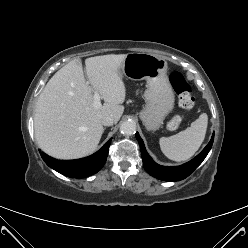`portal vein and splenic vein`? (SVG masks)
<instances>
[{
	"instance_id": "portal-vein-and-splenic-vein-1",
	"label": "portal vein and splenic vein",
	"mask_w": 248,
	"mask_h": 248,
	"mask_svg": "<svg viewBox=\"0 0 248 248\" xmlns=\"http://www.w3.org/2000/svg\"><path fill=\"white\" fill-rule=\"evenodd\" d=\"M100 94L98 93V91L94 90V104L96 106L100 105Z\"/></svg>"
}]
</instances>
